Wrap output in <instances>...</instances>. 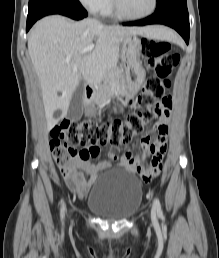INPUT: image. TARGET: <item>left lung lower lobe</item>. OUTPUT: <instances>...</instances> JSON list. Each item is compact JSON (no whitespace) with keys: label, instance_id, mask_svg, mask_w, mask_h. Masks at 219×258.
<instances>
[{"label":"left lung lower lobe","instance_id":"1","mask_svg":"<svg viewBox=\"0 0 219 258\" xmlns=\"http://www.w3.org/2000/svg\"><path fill=\"white\" fill-rule=\"evenodd\" d=\"M149 24H163L174 28L189 43L190 25L186 5H169L161 10L155 11L151 16L138 20L123 23L128 26H144Z\"/></svg>","mask_w":219,"mask_h":258}]
</instances>
